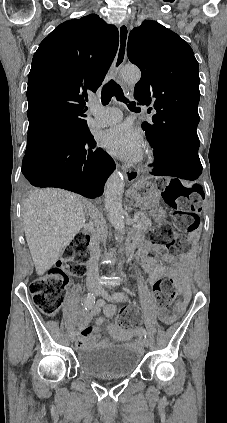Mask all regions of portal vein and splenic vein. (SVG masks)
Instances as JSON below:
<instances>
[{
	"instance_id": "1",
	"label": "portal vein and splenic vein",
	"mask_w": 227,
	"mask_h": 423,
	"mask_svg": "<svg viewBox=\"0 0 227 423\" xmlns=\"http://www.w3.org/2000/svg\"><path fill=\"white\" fill-rule=\"evenodd\" d=\"M139 219V216L138 215H135L134 216V221H137Z\"/></svg>"
}]
</instances>
